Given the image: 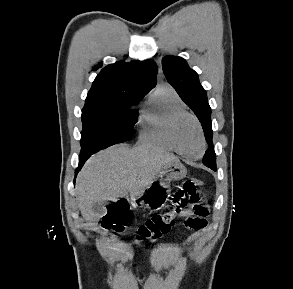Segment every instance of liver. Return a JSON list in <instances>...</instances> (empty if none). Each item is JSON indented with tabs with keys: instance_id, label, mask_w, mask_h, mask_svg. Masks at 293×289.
Returning a JSON list of instances; mask_svg holds the SVG:
<instances>
[{
	"instance_id": "liver-1",
	"label": "liver",
	"mask_w": 293,
	"mask_h": 289,
	"mask_svg": "<svg viewBox=\"0 0 293 289\" xmlns=\"http://www.w3.org/2000/svg\"><path fill=\"white\" fill-rule=\"evenodd\" d=\"M177 156L153 145L134 148L116 145L93 155L76 180L78 206L87 221H93L95 203L140 195L167 164Z\"/></svg>"
}]
</instances>
